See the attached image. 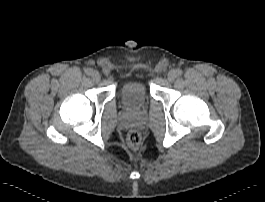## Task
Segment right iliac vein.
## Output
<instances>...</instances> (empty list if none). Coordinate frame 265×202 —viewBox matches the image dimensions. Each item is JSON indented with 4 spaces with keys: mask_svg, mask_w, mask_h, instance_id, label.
Here are the masks:
<instances>
[{
    "mask_svg": "<svg viewBox=\"0 0 265 202\" xmlns=\"http://www.w3.org/2000/svg\"><path fill=\"white\" fill-rule=\"evenodd\" d=\"M91 76H92V79L96 82L101 79V76L98 71H92Z\"/></svg>",
    "mask_w": 265,
    "mask_h": 202,
    "instance_id": "right-iliac-vein-1",
    "label": "right iliac vein"
}]
</instances>
